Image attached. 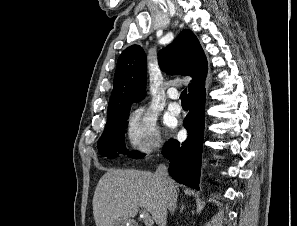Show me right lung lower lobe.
I'll return each instance as SVG.
<instances>
[{"label": "right lung lower lobe", "instance_id": "obj_1", "mask_svg": "<svg viewBox=\"0 0 297 226\" xmlns=\"http://www.w3.org/2000/svg\"><path fill=\"white\" fill-rule=\"evenodd\" d=\"M205 88H199L189 95V113L183 121L188 137L180 144L170 140L163 147L162 154L169 159V173L181 184L199 190L201 155L204 136Z\"/></svg>", "mask_w": 297, "mask_h": 226}]
</instances>
